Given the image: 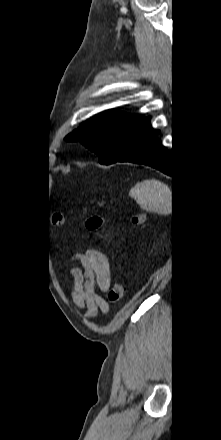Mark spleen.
Instances as JSON below:
<instances>
[{"label": "spleen", "mask_w": 221, "mask_h": 440, "mask_svg": "<svg viewBox=\"0 0 221 440\" xmlns=\"http://www.w3.org/2000/svg\"><path fill=\"white\" fill-rule=\"evenodd\" d=\"M129 196L145 211L158 214H168L171 211V188L159 180L151 179L137 183L130 189Z\"/></svg>", "instance_id": "1"}]
</instances>
